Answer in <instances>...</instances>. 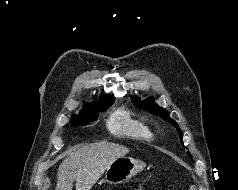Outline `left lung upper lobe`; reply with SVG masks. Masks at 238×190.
<instances>
[{"mask_svg": "<svg viewBox=\"0 0 238 190\" xmlns=\"http://www.w3.org/2000/svg\"><path fill=\"white\" fill-rule=\"evenodd\" d=\"M132 101L138 108L145 109L155 115L161 116L165 121L171 122L177 128L182 142L183 134L182 131L179 129L178 124L170 118L168 111L153 103V97H149L144 101H141L140 98L133 97ZM188 155L192 157L189 152Z\"/></svg>", "mask_w": 238, "mask_h": 190, "instance_id": "left-lung-upper-lobe-1", "label": "left lung upper lobe"}]
</instances>
